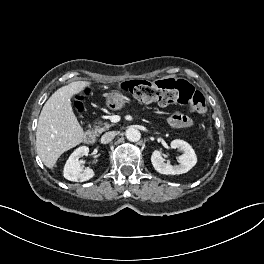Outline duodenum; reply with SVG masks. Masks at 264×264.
Segmentation results:
<instances>
[{
	"instance_id": "obj_1",
	"label": "duodenum",
	"mask_w": 264,
	"mask_h": 264,
	"mask_svg": "<svg viewBox=\"0 0 264 264\" xmlns=\"http://www.w3.org/2000/svg\"><path fill=\"white\" fill-rule=\"evenodd\" d=\"M96 141V135L93 131H87L84 135V142L86 144L92 145Z\"/></svg>"
}]
</instances>
